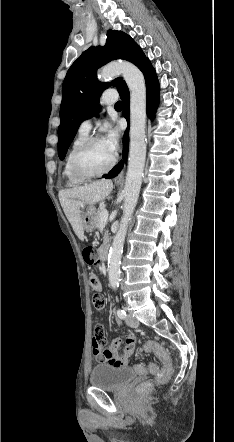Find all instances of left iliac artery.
I'll return each instance as SVG.
<instances>
[{"label":"left iliac artery","instance_id":"left-iliac-artery-1","mask_svg":"<svg viewBox=\"0 0 234 442\" xmlns=\"http://www.w3.org/2000/svg\"><path fill=\"white\" fill-rule=\"evenodd\" d=\"M117 315L120 319H125L126 317V312L123 309H118L117 311Z\"/></svg>","mask_w":234,"mask_h":442}]
</instances>
